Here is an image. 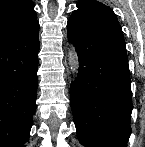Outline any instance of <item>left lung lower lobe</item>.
<instances>
[{
	"instance_id": "1",
	"label": "left lung lower lobe",
	"mask_w": 145,
	"mask_h": 147,
	"mask_svg": "<svg viewBox=\"0 0 145 147\" xmlns=\"http://www.w3.org/2000/svg\"><path fill=\"white\" fill-rule=\"evenodd\" d=\"M67 23L78 53L71 108L85 147H126L133 109L126 45L115 13L95 0H80Z\"/></svg>"
}]
</instances>
